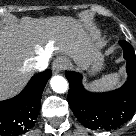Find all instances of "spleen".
<instances>
[{
    "label": "spleen",
    "instance_id": "1",
    "mask_svg": "<svg viewBox=\"0 0 136 136\" xmlns=\"http://www.w3.org/2000/svg\"><path fill=\"white\" fill-rule=\"evenodd\" d=\"M117 82V78L115 75H108L103 77L102 79L95 82V85L97 87H111L113 84Z\"/></svg>",
    "mask_w": 136,
    "mask_h": 136
}]
</instances>
